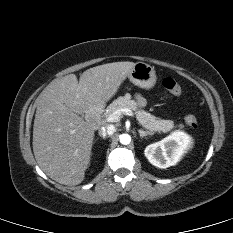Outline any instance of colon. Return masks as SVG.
I'll list each match as a JSON object with an SVG mask.
<instances>
[{"mask_svg":"<svg viewBox=\"0 0 233 233\" xmlns=\"http://www.w3.org/2000/svg\"><path fill=\"white\" fill-rule=\"evenodd\" d=\"M162 84L163 87L173 95H179L182 92L181 85L172 77H165ZM185 123L191 128H196L198 120L195 115L189 114L185 117Z\"/></svg>","mask_w":233,"mask_h":233,"instance_id":"obj_1","label":"colon"}]
</instances>
